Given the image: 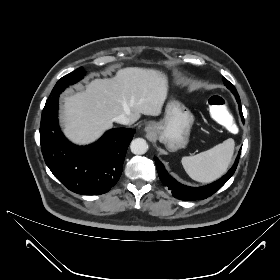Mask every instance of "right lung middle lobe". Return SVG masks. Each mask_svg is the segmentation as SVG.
<instances>
[{
  "mask_svg": "<svg viewBox=\"0 0 280 280\" xmlns=\"http://www.w3.org/2000/svg\"><path fill=\"white\" fill-rule=\"evenodd\" d=\"M85 71L82 67L76 69L75 71L63 76L54 86L50 98L59 95L68 85L76 83L83 78Z\"/></svg>",
  "mask_w": 280,
  "mask_h": 280,
  "instance_id": "obj_1",
  "label": "right lung middle lobe"
}]
</instances>
